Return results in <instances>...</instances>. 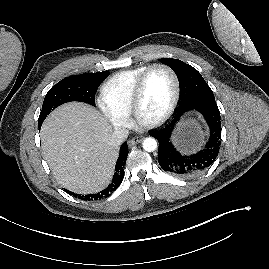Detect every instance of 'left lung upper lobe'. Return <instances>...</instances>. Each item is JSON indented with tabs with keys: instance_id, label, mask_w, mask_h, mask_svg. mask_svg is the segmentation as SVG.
<instances>
[{
	"instance_id": "left-lung-upper-lobe-1",
	"label": "left lung upper lobe",
	"mask_w": 269,
	"mask_h": 269,
	"mask_svg": "<svg viewBox=\"0 0 269 269\" xmlns=\"http://www.w3.org/2000/svg\"><path fill=\"white\" fill-rule=\"evenodd\" d=\"M160 62L170 66L178 77L181 88L180 106L194 100H215L212 90L194 67L171 58L160 59Z\"/></svg>"
}]
</instances>
